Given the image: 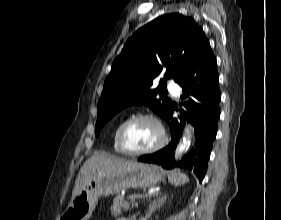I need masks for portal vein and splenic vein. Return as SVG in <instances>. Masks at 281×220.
Wrapping results in <instances>:
<instances>
[{
	"label": "portal vein and splenic vein",
	"instance_id": "18ae733b",
	"mask_svg": "<svg viewBox=\"0 0 281 220\" xmlns=\"http://www.w3.org/2000/svg\"><path fill=\"white\" fill-rule=\"evenodd\" d=\"M152 194L148 195V196H151ZM128 199L130 200H134V197L133 196H129Z\"/></svg>",
	"mask_w": 281,
	"mask_h": 220
}]
</instances>
